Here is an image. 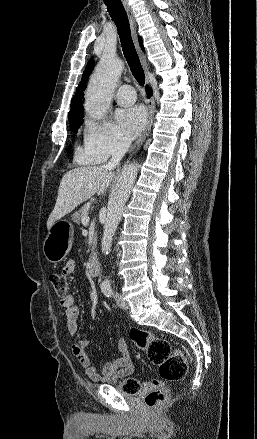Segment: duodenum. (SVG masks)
<instances>
[{
    "instance_id": "duodenum-1",
    "label": "duodenum",
    "mask_w": 257,
    "mask_h": 439,
    "mask_svg": "<svg viewBox=\"0 0 257 439\" xmlns=\"http://www.w3.org/2000/svg\"><path fill=\"white\" fill-rule=\"evenodd\" d=\"M89 273L93 276L98 275L101 269V263L97 254H92L89 260Z\"/></svg>"
}]
</instances>
